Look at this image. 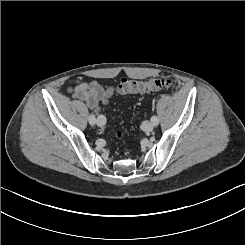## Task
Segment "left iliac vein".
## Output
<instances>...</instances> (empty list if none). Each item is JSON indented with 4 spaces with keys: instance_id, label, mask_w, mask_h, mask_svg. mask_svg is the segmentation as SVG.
Wrapping results in <instances>:
<instances>
[{
    "instance_id": "obj_1",
    "label": "left iliac vein",
    "mask_w": 245,
    "mask_h": 245,
    "mask_svg": "<svg viewBox=\"0 0 245 245\" xmlns=\"http://www.w3.org/2000/svg\"><path fill=\"white\" fill-rule=\"evenodd\" d=\"M154 128V124L150 121H145L143 124H142V129L145 131V132H150L152 131Z\"/></svg>"
}]
</instances>
